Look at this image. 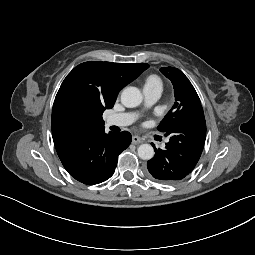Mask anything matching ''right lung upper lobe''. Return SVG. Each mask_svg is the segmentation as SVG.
<instances>
[{"instance_id":"obj_1","label":"right lung upper lobe","mask_w":255,"mask_h":255,"mask_svg":"<svg viewBox=\"0 0 255 255\" xmlns=\"http://www.w3.org/2000/svg\"><path fill=\"white\" fill-rule=\"evenodd\" d=\"M148 64L89 61L76 66L62 82L52 109L54 143L105 129L102 114L111 109L121 88Z\"/></svg>"}]
</instances>
